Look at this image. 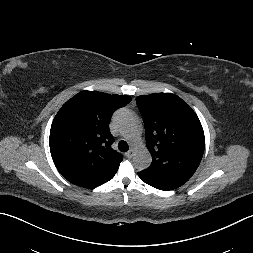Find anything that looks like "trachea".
I'll use <instances>...</instances> for the list:
<instances>
[{"label": "trachea", "mask_w": 253, "mask_h": 253, "mask_svg": "<svg viewBox=\"0 0 253 253\" xmlns=\"http://www.w3.org/2000/svg\"><path fill=\"white\" fill-rule=\"evenodd\" d=\"M118 149L121 151V152H127L128 149H129V146L127 144V142L125 141H120L118 143Z\"/></svg>", "instance_id": "1"}]
</instances>
